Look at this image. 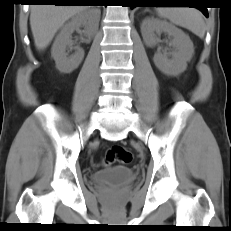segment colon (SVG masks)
<instances>
[{
	"label": "colon",
	"instance_id": "colon-1",
	"mask_svg": "<svg viewBox=\"0 0 231 231\" xmlns=\"http://www.w3.org/2000/svg\"><path fill=\"white\" fill-rule=\"evenodd\" d=\"M132 161V153L123 146H112L104 159L105 165H111L113 163L128 164Z\"/></svg>",
	"mask_w": 231,
	"mask_h": 231
}]
</instances>
